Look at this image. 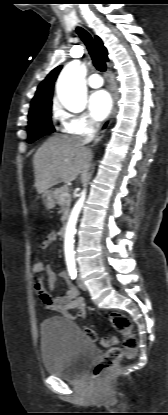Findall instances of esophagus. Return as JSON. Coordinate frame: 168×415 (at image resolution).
<instances>
[{"label": "esophagus", "mask_w": 168, "mask_h": 415, "mask_svg": "<svg viewBox=\"0 0 168 415\" xmlns=\"http://www.w3.org/2000/svg\"><path fill=\"white\" fill-rule=\"evenodd\" d=\"M110 88H111V96H112V110L111 113L109 115V117L104 121L101 130L99 131L98 135L96 136L93 145H96L104 136L108 126L111 123V120L113 118V115L115 113L116 110V91H115V86H114V81L113 79H110Z\"/></svg>", "instance_id": "obj_1"}]
</instances>
